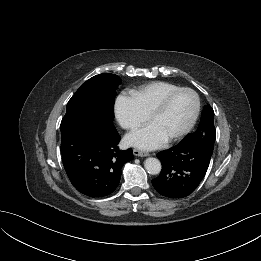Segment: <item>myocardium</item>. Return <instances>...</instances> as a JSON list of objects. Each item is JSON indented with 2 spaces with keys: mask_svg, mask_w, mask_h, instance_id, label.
<instances>
[{
  "mask_svg": "<svg viewBox=\"0 0 261 261\" xmlns=\"http://www.w3.org/2000/svg\"><path fill=\"white\" fill-rule=\"evenodd\" d=\"M181 93H190L193 95L194 99H195V107H194V111L193 114L191 116L190 121L188 122V124L186 125V127L181 130L179 133L167 138L168 141H177L182 139L183 137H185L194 127L197 118L199 116L200 113V108H201V101H200V97L198 95V93L196 91H194L191 88H180L177 89L175 91L170 92L169 94H167L163 100L154 108V110L149 114V120L151 121L155 116L163 113L167 107L169 106L170 102L179 94Z\"/></svg>",
  "mask_w": 261,
  "mask_h": 261,
  "instance_id": "obj_1",
  "label": "myocardium"
}]
</instances>
